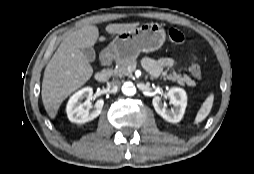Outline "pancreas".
I'll list each match as a JSON object with an SVG mask.
<instances>
[{"label": "pancreas", "instance_id": "pancreas-1", "mask_svg": "<svg viewBox=\"0 0 254 174\" xmlns=\"http://www.w3.org/2000/svg\"><path fill=\"white\" fill-rule=\"evenodd\" d=\"M137 62L135 59H124V60H119L116 63V67L114 69H107V72L115 77H123V76H132V71H129L128 68L131 67H136ZM161 78L164 80H172L174 82H177L178 84L184 86H195V81L192 80L189 76L186 74H179L176 73L174 70H172L170 73H168L167 70H165L162 73Z\"/></svg>", "mask_w": 254, "mask_h": 174}]
</instances>
